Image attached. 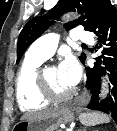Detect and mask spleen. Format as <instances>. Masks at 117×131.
Here are the masks:
<instances>
[{
    "label": "spleen",
    "instance_id": "1",
    "mask_svg": "<svg viewBox=\"0 0 117 131\" xmlns=\"http://www.w3.org/2000/svg\"><path fill=\"white\" fill-rule=\"evenodd\" d=\"M81 122L87 126H95L98 124L109 123L110 118L103 113L93 112L88 114H81Z\"/></svg>",
    "mask_w": 117,
    "mask_h": 131
}]
</instances>
